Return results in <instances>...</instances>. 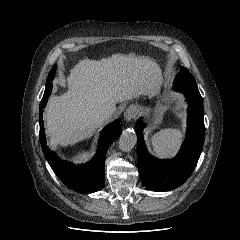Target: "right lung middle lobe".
I'll return each instance as SVG.
<instances>
[{
    "mask_svg": "<svg viewBox=\"0 0 240 240\" xmlns=\"http://www.w3.org/2000/svg\"><path fill=\"white\" fill-rule=\"evenodd\" d=\"M55 71H56V66L54 65L53 68L51 69L50 73L48 74V78H47V81H46L45 92H44L43 98L41 100V103H44L45 101H47L48 97L51 94V91H52V80H53V78L55 76L54 75Z\"/></svg>",
    "mask_w": 240,
    "mask_h": 240,
    "instance_id": "dd1d6c3e",
    "label": "right lung middle lobe"
}]
</instances>
